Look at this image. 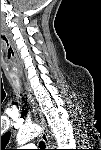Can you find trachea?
<instances>
[{"label": "trachea", "instance_id": "obj_1", "mask_svg": "<svg viewBox=\"0 0 101 150\" xmlns=\"http://www.w3.org/2000/svg\"><path fill=\"white\" fill-rule=\"evenodd\" d=\"M39 146H40V148H41V150H45V143L44 142H40L39 143Z\"/></svg>", "mask_w": 101, "mask_h": 150}]
</instances>
